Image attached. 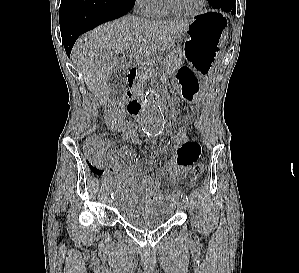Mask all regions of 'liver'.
Masks as SVG:
<instances>
[{"label":"liver","mask_w":299,"mask_h":273,"mask_svg":"<svg viewBox=\"0 0 299 273\" xmlns=\"http://www.w3.org/2000/svg\"><path fill=\"white\" fill-rule=\"evenodd\" d=\"M190 22L125 16L81 36L72 49V59L83 73L88 90L99 104H105L110 97L109 81L119 54L129 53L136 59L161 53L181 38Z\"/></svg>","instance_id":"1"}]
</instances>
